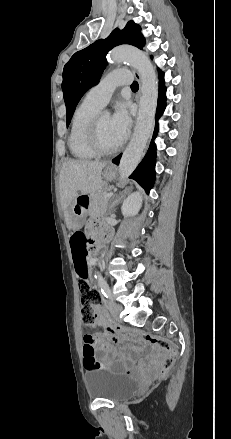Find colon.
<instances>
[{"label":"colon","instance_id":"5ec220e1","mask_svg":"<svg viewBox=\"0 0 231 439\" xmlns=\"http://www.w3.org/2000/svg\"><path fill=\"white\" fill-rule=\"evenodd\" d=\"M72 240L75 244L76 255H78L80 252L81 243L84 244V251L87 249L88 243L83 236L75 235L72 237ZM77 271L79 275L78 292L81 300L82 321L85 326L92 327L95 325L96 309L100 303V296L97 290L91 284L87 265L79 264L77 266ZM109 329L111 332L117 334H121L123 332V329L116 324H112ZM137 335L144 343L164 353L165 357L162 363L160 374L162 377L167 376L175 361V348L167 340L151 333L139 331ZM84 365L87 369L101 368V364L96 360L92 351L86 352Z\"/></svg>","mask_w":231,"mask_h":439}]
</instances>
